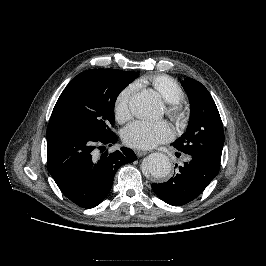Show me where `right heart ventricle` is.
I'll list each match as a JSON object with an SVG mask.
<instances>
[{
  "instance_id": "right-heart-ventricle-1",
  "label": "right heart ventricle",
  "mask_w": 266,
  "mask_h": 266,
  "mask_svg": "<svg viewBox=\"0 0 266 266\" xmlns=\"http://www.w3.org/2000/svg\"><path fill=\"white\" fill-rule=\"evenodd\" d=\"M139 84H150L167 103L182 102L185 92L181 85L168 75H152L140 80Z\"/></svg>"
}]
</instances>
